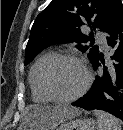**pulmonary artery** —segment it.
I'll return each mask as SVG.
<instances>
[{
  "mask_svg": "<svg viewBox=\"0 0 123 130\" xmlns=\"http://www.w3.org/2000/svg\"><path fill=\"white\" fill-rule=\"evenodd\" d=\"M96 38H97V40L100 42V44L102 45V47H103L104 49H107V48H108L106 38H105V36H104L102 33H100V32L97 33V34H96Z\"/></svg>",
  "mask_w": 123,
  "mask_h": 130,
  "instance_id": "pulmonary-artery-1",
  "label": "pulmonary artery"
}]
</instances>
